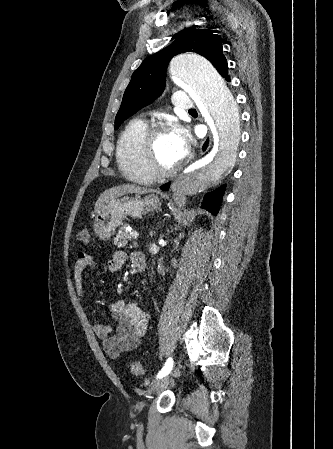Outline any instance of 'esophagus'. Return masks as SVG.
<instances>
[{"label":"esophagus","instance_id":"34e87169","mask_svg":"<svg viewBox=\"0 0 333 449\" xmlns=\"http://www.w3.org/2000/svg\"><path fill=\"white\" fill-rule=\"evenodd\" d=\"M211 145V136L208 135L201 146V154L206 152Z\"/></svg>","mask_w":333,"mask_h":449}]
</instances>
